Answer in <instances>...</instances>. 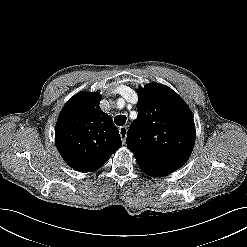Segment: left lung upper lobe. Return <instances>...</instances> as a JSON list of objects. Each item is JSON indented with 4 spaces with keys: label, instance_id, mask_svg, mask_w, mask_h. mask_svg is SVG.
<instances>
[{
    "label": "left lung upper lobe",
    "instance_id": "obj_1",
    "mask_svg": "<svg viewBox=\"0 0 247 247\" xmlns=\"http://www.w3.org/2000/svg\"><path fill=\"white\" fill-rule=\"evenodd\" d=\"M138 117L127 132V147L137 163L168 170L179 169L195 143L192 113L183 99L161 84L140 87Z\"/></svg>",
    "mask_w": 247,
    "mask_h": 247
}]
</instances>
